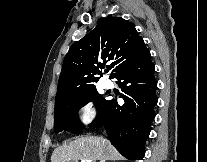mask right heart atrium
Wrapping results in <instances>:
<instances>
[{
    "label": "right heart atrium",
    "mask_w": 207,
    "mask_h": 162,
    "mask_svg": "<svg viewBox=\"0 0 207 162\" xmlns=\"http://www.w3.org/2000/svg\"><path fill=\"white\" fill-rule=\"evenodd\" d=\"M97 116V110L94 102L86 101L80 106V123L83 126L90 125Z\"/></svg>",
    "instance_id": "1"
}]
</instances>
